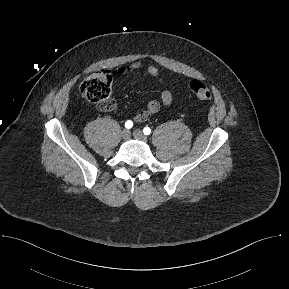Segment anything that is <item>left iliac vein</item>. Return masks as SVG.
I'll return each instance as SVG.
<instances>
[{"instance_id":"left-iliac-vein-1","label":"left iliac vein","mask_w":289,"mask_h":289,"mask_svg":"<svg viewBox=\"0 0 289 289\" xmlns=\"http://www.w3.org/2000/svg\"><path fill=\"white\" fill-rule=\"evenodd\" d=\"M133 136H134V138H136V139H138V140H140L142 142H146L147 141V137L139 129L134 130Z\"/></svg>"}]
</instances>
